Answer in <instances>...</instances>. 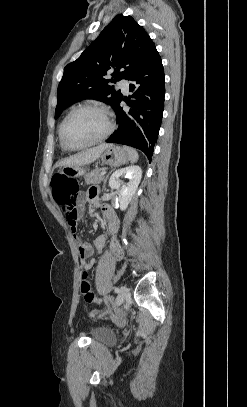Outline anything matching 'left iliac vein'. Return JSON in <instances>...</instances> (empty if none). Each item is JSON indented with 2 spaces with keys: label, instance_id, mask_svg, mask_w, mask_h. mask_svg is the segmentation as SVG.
Wrapping results in <instances>:
<instances>
[{
  "label": "left iliac vein",
  "instance_id": "obj_1",
  "mask_svg": "<svg viewBox=\"0 0 247 407\" xmlns=\"http://www.w3.org/2000/svg\"><path fill=\"white\" fill-rule=\"evenodd\" d=\"M127 294H128L127 288L125 286H121L120 289H119L115 304H114V308L120 306L124 302ZM108 312L109 311L105 312L102 315H99V318H101L103 315L107 314Z\"/></svg>",
  "mask_w": 247,
  "mask_h": 407
}]
</instances>
